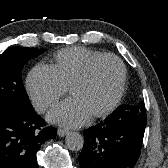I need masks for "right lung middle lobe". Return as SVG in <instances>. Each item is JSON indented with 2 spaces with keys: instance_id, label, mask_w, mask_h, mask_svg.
Segmentation results:
<instances>
[{
  "instance_id": "dd1d6c3e",
  "label": "right lung middle lobe",
  "mask_w": 168,
  "mask_h": 168,
  "mask_svg": "<svg viewBox=\"0 0 168 168\" xmlns=\"http://www.w3.org/2000/svg\"><path fill=\"white\" fill-rule=\"evenodd\" d=\"M36 48L11 47L0 55V105L33 109L22 82V68L42 54Z\"/></svg>"
}]
</instances>
